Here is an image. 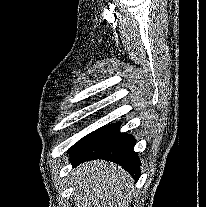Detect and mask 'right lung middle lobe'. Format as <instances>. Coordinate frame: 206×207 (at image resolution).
I'll list each match as a JSON object with an SVG mask.
<instances>
[{"label":"right lung middle lobe","mask_w":206,"mask_h":207,"mask_svg":"<svg viewBox=\"0 0 206 207\" xmlns=\"http://www.w3.org/2000/svg\"><path fill=\"white\" fill-rule=\"evenodd\" d=\"M105 128H106L105 126L101 127L99 129L93 131L92 133L86 135L81 140H79L75 145H73L70 150H77V149L81 148L84 144H86L88 141H90L92 138H94L96 135H98Z\"/></svg>","instance_id":"obj_1"}]
</instances>
